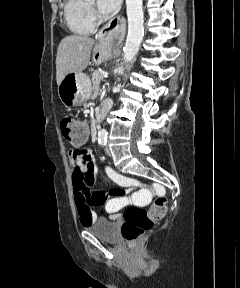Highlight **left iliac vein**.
<instances>
[{
	"label": "left iliac vein",
	"instance_id": "4c4485c4",
	"mask_svg": "<svg viewBox=\"0 0 240 288\" xmlns=\"http://www.w3.org/2000/svg\"><path fill=\"white\" fill-rule=\"evenodd\" d=\"M105 152L107 155L111 154L110 148L108 146L105 147Z\"/></svg>",
	"mask_w": 240,
	"mask_h": 288
}]
</instances>
